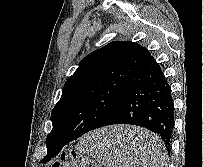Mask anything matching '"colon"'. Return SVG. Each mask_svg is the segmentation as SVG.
<instances>
[{
	"mask_svg": "<svg viewBox=\"0 0 203 167\" xmlns=\"http://www.w3.org/2000/svg\"><path fill=\"white\" fill-rule=\"evenodd\" d=\"M51 167H98L88 158L70 150L63 153L61 159L52 164Z\"/></svg>",
	"mask_w": 203,
	"mask_h": 167,
	"instance_id": "5ec220e1",
	"label": "colon"
}]
</instances>
